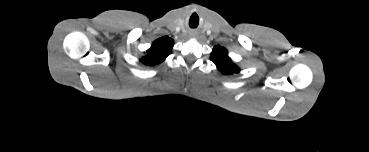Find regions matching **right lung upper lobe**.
<instances>
[{
    "mask_svg": "<svg viewBox=\"0 0 369 152\" xmlns=\"http://www.w3.org/2000/svg\"><path fill=\"white\" fill-rule=\"evenodd\" d=\"M172 48L173 40L171 38L167 36L159 38L147 50V54L140 61L147 66L161 63L171 53Z\"/></svg>",
    "mask_w": 369,
    "mask_h": 152,
    "instance_id": "cb5924a9",
    "label": "right lung upper lobe"
}]
</instances>
